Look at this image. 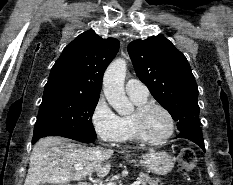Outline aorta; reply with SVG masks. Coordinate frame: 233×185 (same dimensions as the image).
Segmentation results:
<instances>
[{
  "mask_svg": "<svg viewBox=\"0 0 233 185\" xmlns=\"http://www.w3.org/2000/svg\"><path fill=\"white\" fill-rule=\"evenodd\" d=\"M127 63L124 59L113 61L107 68L103 78V91L108 103L121 116L133 111V105L124 90Z\"/></svg>",
  "mask_w": 233,
  "mask_h": 185,
  "instance_id": "obj_1",
  "label": "aorta"
}]
</instances>
